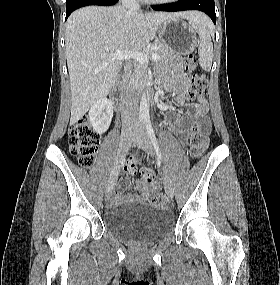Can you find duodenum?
Listing matches in <instances>:
<instances>
[{
  "label": "duodenum",
  "instance_id": "obj_1",
  "mask_svg": "<svg viewBox=\"0 0 280 285\" xmlns=\"http://www.w3.org/2000/svg\"><path fill=\"white\" fill-rule=\"evenodd\" d=\"M121 84H122V82L118 83V87H117V91L119 92V97H118V98H116V96L113 97V100H114L115 102H117L118 100H120V99L123 98V96H124V94H123V92H122V90H121V87H120Z\"/></svg>",
  "mask_w": 280,
  "mask_h": 285
}]
</instances>
